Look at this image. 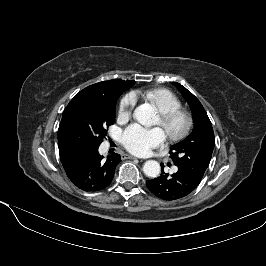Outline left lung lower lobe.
I'll return each instance as SVG.
<instances>
[{
  "label": "left lung lower lobe",
  "instance_id": "1",
  "mask_svg": "<svg viewBox=\"0 0 266 266\" xmlns=\"http://www.w3.org/2000/svg\"><path fill=\"white\" fill-rule=\"evenodd\" d=\"M161 166L163 167V164ZM199 183L185 170L178 168V171L172 175L163 172L160 177L147 180L146 185L157 197L172 201L187 196Z\"/></svg>",
  "mask_w": 266,
  "mask_h": 266
}]
</instances>
